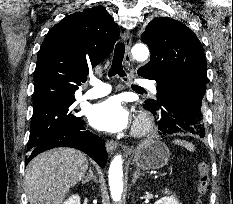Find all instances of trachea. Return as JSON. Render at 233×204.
I'll return each mask as SVG.
<instances>
[{"mask_svg": "<svg viewBox=\"0 0 233 204\" xmlns=\"http://www.w3.org/2000/svg\"><path fill=\"white\" fill-rule=\"evenodd\" d=\"M125 54V45L122 42H119L115 46L114 56L112 60V65L109 70V77L115 76L118 74L120 77L126 76L125 71L123 70L122 61ZM132 88L138 91H144L143 88L133 85Z\"/></svg>", "mask_w": 233, "mask_h": 204, "instance_id": "trachea-1", "label": "trachea"}]
</instances>
